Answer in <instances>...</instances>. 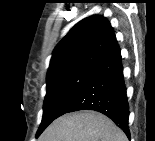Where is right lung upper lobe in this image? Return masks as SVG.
<instances>
[{
	"label": "right lung upper lobe",
	"instance_id": "right-lung-upper-lobe-1",
	"mask_svg": "<svg viewBox=\"0 0 155 141\" xmlns=\"http://www.w3.org/2000/svg\"><path fill=\"white\" fill-rule=\"evenodd\" d=\"M117 45L113 28L105 17H87L54 49L47 78L75 68L95 69Z\"/></svg>",
	"mask_w": 155,
	"mask_h": 141
}]
</instances>
